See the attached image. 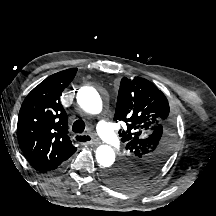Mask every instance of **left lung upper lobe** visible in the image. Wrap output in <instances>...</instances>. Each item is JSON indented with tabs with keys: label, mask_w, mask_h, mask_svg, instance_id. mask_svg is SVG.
Here are the masks:
<instances>
[{
	"label": "left lung upper lobe",
	"mask_w": 216,
	"mask_h": 216,
	"mask_svg": "<svg viewBox=\"0 0 216 216\" xmlns=\"http://www.w3.org/2000/svg\"><path fill=\"white\" fill-rule=\"evenodd\" d=\"M115 121L124 143L119 162L103 171L105 181L117 189H133L150 180L165 164L177 136V119L166 96L150 81L122 78Z\"/></svg>",
	"instance_id": "5c2ea615"
}]
</instances>
